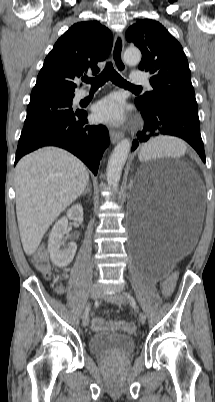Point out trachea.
Instances as JSON below:
<instances>
[{"label":"trachea","instance_id":"trachea-1","mask_svg":"<svg viewBox=\"0 0 215 402\" xmlns=\"http://www.w3.org/2000/svg\"><path fill=\"white\" fill-rule=\"evenodd\" d=\"M82 80L86 83H90L93 89H97L100 86L104 85L108 80H111L114 84L124 87V88H141L140 86H135L129 82H127L124 78L117 73V71L113 68L111 62L107 63L105 69L96 77L88 78L84 77Z\"/></svg>","mask_w":215,"mask_h":402}]
</instances>
